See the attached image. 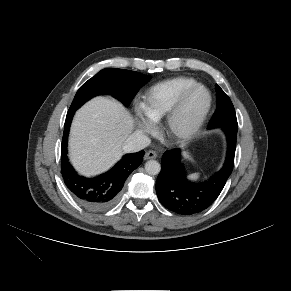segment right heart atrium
Listing matches in <instances>:
<instances>
[{"label": "right heart atrium", "instance_id": "1", "mask_svg": "<svg viewBox=\"0 0 291 291\" xmlns=\"http://www.w3.org/2000/svg\"><path fill=\"white\" fill-rule=\"evenodd\" d=\"M136 119H137V124H138L139 128L141 129V131H143L145 133L153 132V130L155 128L153 121H151L149 118L144 116L141 112L137 113Z\"/></svg>", "mask_w": 291, "mask_h": 291}]
</instances>
